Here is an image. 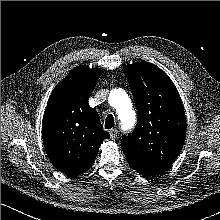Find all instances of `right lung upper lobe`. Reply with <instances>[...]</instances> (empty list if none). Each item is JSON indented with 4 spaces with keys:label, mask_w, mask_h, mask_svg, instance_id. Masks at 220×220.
<instances>
[{
    "label": "right lung upper lobe",
    "mask_w": 220,
    "mask_h": 220,
    "mask_svg": "<svg viewBox=\"0 0 220 220\" xmlns=\"http://www.w3.org/2000/svg\"><path fill=\"white\" fill-rule=\"evenodd\" d=\"M100 75L99 68H75L56 85L44 112L42 138L46 153L67 176L86 172L102 141L109 137L97 111L88 105Z\"/></svg>",
    "instance_id": "right-lung-upper-lobe-1"
}]
</instances>
